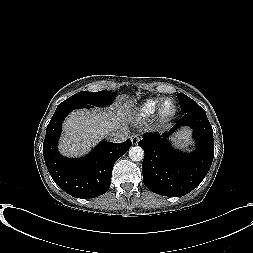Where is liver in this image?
Returning a JSON list of instances; mask_svg holds the SVG:
<instances>
[{"mask_svg": "<svg viewBox=\"0 0 253 253\" xmlns=\"http://www.w3.org/2000/svg\"><path fill=\"white\" fill-rule=\"evenodd\" d=\"M134 119L129 106H119L117 110H76L70 113L63 123V136L59 151L68 157H80L88 153L108 131L127 127ZM190 131L185 129L174 140L190 143Z\"/></svg>", "mask_w": 253, "mask_h": 253, "instance_id": "obj_1", "label": "liver"}]
</instances>
